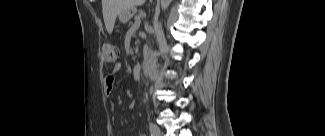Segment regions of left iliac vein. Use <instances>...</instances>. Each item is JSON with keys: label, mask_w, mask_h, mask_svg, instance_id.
Instances as JSON below:
<instances>
[{"label": "left iliac vein", "mask_w": 325, "mask_h": 136, "mask_svg": "<svg viewBox=\"0 0 325 136\" xmlns=\"http://www.w3.org/2000/svg\"><path fill=\"white\" fill-rule=\"evenodd\" d=\"M154 128L156 129V132H157L154 136H162L161 131L156 124H154Z\"/></svg>", "instance_id": "4c4485c4"}]
</instances>
